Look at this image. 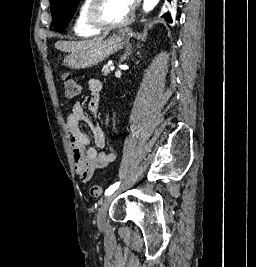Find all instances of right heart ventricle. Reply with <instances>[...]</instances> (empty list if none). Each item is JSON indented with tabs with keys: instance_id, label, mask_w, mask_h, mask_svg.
Wrapping results in <instances>:
<instances>
[{
	"instance_id": "obj_1",
	"label": "right heart ventricle",
	"mask_w": 256,
	"mask_h": 267,
	"mask_svg": "<svg viewBox=\"0 0 256 267\" xmlns=\"http://www.w3.org/2000/svg\"><path fill=\"white\" fill-rule=\"evenodd\" d=\"M93 0H88V5L85 6L77 17L73 32L76 36H99L102 32L91 27L87 20V13Z\"/></svg>"
}]
</instances>
